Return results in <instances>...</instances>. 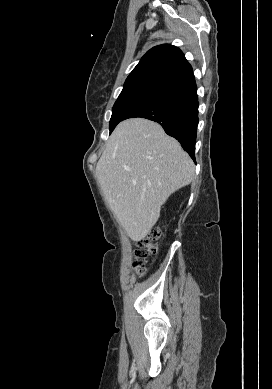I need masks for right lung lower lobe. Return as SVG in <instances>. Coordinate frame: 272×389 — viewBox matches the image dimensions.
Listing matches in <instances>:
<instances>
[{
  "instance_id": "right-lung-lower-lobe-1",
  "label": "right lung lower lobe",
  "mask_w": 272,
  "mask_h": 389,
  "mask_svg": "<svg viewBox=\"0 0 272 389\" xmlns=\"http://www.w3.org/2000/svg\"><path fill=\"white\" fill-rule=\"evenodd\" d=\"M142 117L158 122L195 161L198 95L193 73L178 78L133 107L123 120Z\"/></svg>"
}]
</instances>
